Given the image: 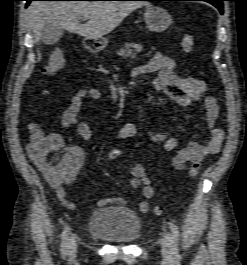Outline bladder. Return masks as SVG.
<instances>
[{"label": "bladder", "mask_w": 247, "mask_h": 265, "mask_svg": "<svg viewBox=\"0 0 247 265\" xmlns=\"http://www.w3.org/2000/svg\"><path fill=\"white\" fill-rule=\"evenodd\" d=\"M87 231L112 243L132 244L141 237L142 224L130 208L111 205L92 211Z\"/></svg>", "instance_id": "bladder-1"}]
</instances>
